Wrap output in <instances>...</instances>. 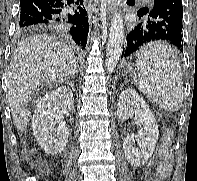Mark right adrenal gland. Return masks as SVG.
I'll return each instance as SVG.
<instances>
[{
    "label": "right adrenal gland",
    "mask_w": 197,
    "mask_h": 181,
    "mask_svg": "<svg viewBox=\"0 0 197 181\" xmlns=\"http://www.w3.org/2000/svg\"><path fill=\"white\" fill-rule=\"evenodd\" d=\"M68 84L72 88V90L75 91L74 83L72 81H70Z\"/></svg>",
    "instance_id": "right-adrenal-gland-1"
}]
</instances>
